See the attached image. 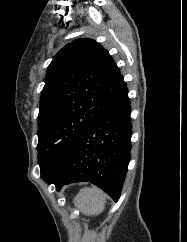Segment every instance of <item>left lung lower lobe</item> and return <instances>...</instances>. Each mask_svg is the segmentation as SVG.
Instances as JSON below:
<instances>
[{
    "label": "left lung lower lobe",
    "mask_w": 187,
    "mask_h": 242,
    "mask_svg": "<svg viewBox=\"0 0 187 242\" xmlns=\"http://www.w3.org/2000/svg\"><path fill=\"white\" fill-rule=\"evenodd\" d=\"M131 106L128 92L102 114L81 136L61 164L42 178L63 185L89 181L118 201L131 150Z\"/></svg>",
    "instance_id": "0a47b994"
}]
</instances>
